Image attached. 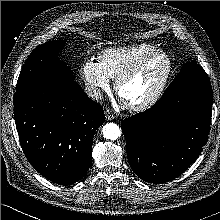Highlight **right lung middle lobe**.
I'll use <instances>...</instances> for the list:
<instances>
[{
	"instance_id": "right-lung-middle-lobe-1",
	"label": "right lung middle lobe",
	"mask_w": 220,
	"mask_h": 220,
	"mask_svg": "<svg viewBox=\"0 0 220 220\" xmlns=\"http://www.w3.org/2000/svg\"><path fill=\"white\" fill-rule=\"evenodd\" d=\"M63 46V40H53L36 47L20 72L16 91L73 80V73L58 59V52Z\"/></svg>"
}]
</instances>
